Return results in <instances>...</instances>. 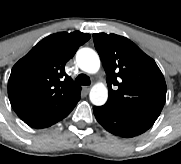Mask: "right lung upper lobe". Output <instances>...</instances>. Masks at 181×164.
Listing matches in <instances>:
<instances>
[{
  "label": "right lung upper lobe",
  "mask_w": 181,
  "mask_h": 164,
  "mask_svg": "<svg viewBox=\"0 0 181 164\" xmlns=\"http://www.w3.org/2000/svg\"><path fill=\"white\" fill-rule=\"evenodd\" d=\"M88 33L47 36L12 68L8 96L24 122H56L80 100L81 87L65 73V64L90 39Z\"/></svg>",
  "instance_id": "cb5924a9"
}]
</instances>
